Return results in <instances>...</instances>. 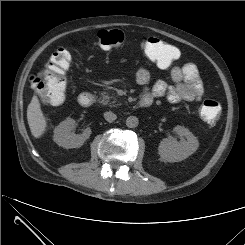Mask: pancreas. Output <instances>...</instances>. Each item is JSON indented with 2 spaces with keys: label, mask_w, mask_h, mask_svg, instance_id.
Wrapping results in <instances>:
<instances>
[{
  "label": "pancreas",
  "mask_w": 245,
  "mask_h": 245,
  "mask_svg": "<svg viewBox=\"0 0 245 245\" xmlns=\"http://www.w3.org/2000/svg\"><path fill=\"white\" fill-rule=\"evenodd\" d=\"M113 99L112 102H110V100ZM100 103L107 105L110 104V106L115 107L116 106V98L114 96H111L109 93L107 92H102L101 93V98H100Z\"/></svg>",
  "instance_id": "cf45deb5"
}]
</instances>
